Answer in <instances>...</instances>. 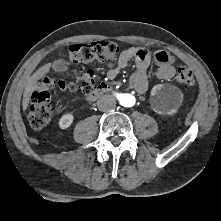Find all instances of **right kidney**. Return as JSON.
Wrapping results in <instances>:
<instances>
[{
	"instance_id": "1",
	"label": "right kidney",
	"mask_w": 221,
	"mask_h": 221,
	"mask_svg": "<svg viewBox=\"0 0 221 221\" xmlns=\"http://www.w3.org/2000/svg\"><path fill=\"white\" fill-rule=\"evenodd\" d=\"M74 116L70 113L64 114L60 119H59V127L61 129H66L70 127V125L73 123Z\"/></svg>"
}]
</instances>
